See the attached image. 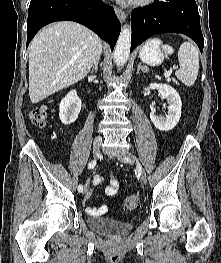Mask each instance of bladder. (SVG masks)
Returning a JSON list of instances; mask_svg holds the SVG:
<instances>
[{"label":"bladder","mask_w":221,"mask_h":263,"mask_svg":"<svg viewBox=\"0 0 221 263\" xmlns=\"http://www.w3.org/2000/svg\"><path fill=\"white\" fill-rule=\"evenodd\" d=\"M90 229L110 237H121L127 234L133 227L129 220H117L110 217L93 216L87 219Z\"/></svg>","instance_id":"obj_1"}]
</instances>
